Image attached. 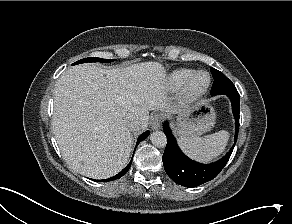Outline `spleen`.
Masks as SVG:
<instances>
[{
	"instance_id": "1",
	"label": "spleen",
	"mask_w": 292,
	"mask_h": 224,
	"mask_svg": "<svg viewBox=\"0 0 292 224\" xmlns=\"http://www.w3.org/2000/svg\"><path fill=\"white\" fill-rule=\"evenodd\" d=\"M229 132L221 130L205 137H181L178 143L182 150L192 159L199 162H210L226 148Z\"/></svg>"
}]
</instances>
